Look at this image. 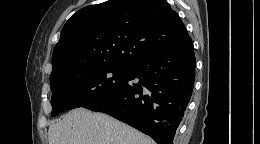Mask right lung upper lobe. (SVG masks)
<instances>
[{
  "label": "right lung upper lobe",
  "instance_id": "1",
  "mask_svg": "<svg viewBox=\"0 0 260 144\" xmlns=\"http://www.w3.org/2000/svg\"><path fill=\"white\" fill-rule=\"evenodd\" d=\"M188 37L165 0H108L84 7L64 25L51 77L98 65L129 67Z\"/></svg>",
  "mask_w": 260,
  "mask_h": 144
}]
</instances>
